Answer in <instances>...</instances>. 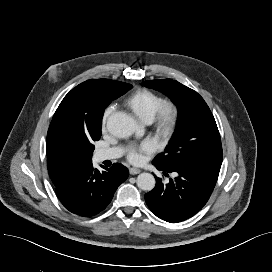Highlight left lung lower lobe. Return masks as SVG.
Here are the masks:
<instances>
[{"label":"left lung lower lobe","mask_w":272,"mask_h":272,"mask_svg":"<svg viewBox=\"0 0 272 272\" xmlns=\"http://www.w3.org/2000/svg\"><path fill=\"white\" fill-rule=\"evenodd\" d=\"M152 163L159 170L177 174L167 184L155 176V188L145 194L150 210L170 223L184 221L203 208L215 187L221 168L201 163L165 168Z\"/></svg>","instance_id":"left-lung-lower-lobe-1"}]
</instances>
